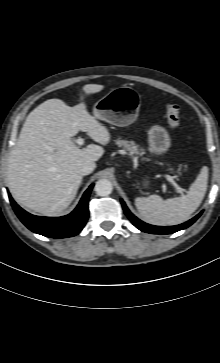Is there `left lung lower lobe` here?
I'll use <instances>...</instances> for the list:
<instances>
[{
	"label": "left lung lower lobe",
	"mask_w": 220,
	"mask_h": 363,
	"mask_svg": "<svg viewBox=\"0 0 220 363\" xmlns=\"http://www.w3.org/2000/svg\"><path fill=\"white\" fill-rule=\"evenodd\" d=\"M121 204L123 206L124 212L127 215V217L129 218V220L141 231L147 232V233H151V234H171L174 232H177L179 230L185 229L187 227H189L191 224H193L202 214L199 213L197 216H195L193 219L177 225V226H168V227H162V226H153V225H149L147 223H144L143 221L139 220L137 217H135L126 207L125 203L123 200H121Z\"/></svg>",
	"instance_id": "left-lung-lower-lobe-1"
}]
</instances>
